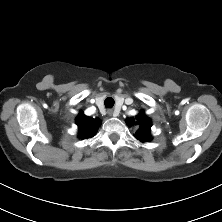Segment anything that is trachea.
<instances>
[{
  "instance_id": "trachea-1",
  "label": "trachea",
  "mask_w": 222,
  "mask_h": 222,
  "mask_svg": "<svg viewBox=\"0 0 222 222\" xmlns=\"http://www.w3.org/2000/svg\"><path fill=\"white\" fill-rule=\"evenodd\" d=\"M114 103H115V101L111 97L106 98L105 101H104V104H105L106 108H112L114 106Z\"/></svg>"
}]
</instances>
